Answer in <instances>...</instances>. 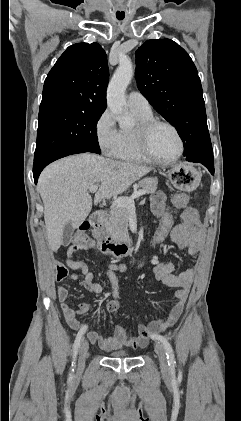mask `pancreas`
Returning <instances> with one entry per match:
<instances>
[{"mask_svg": "<svg viewBox=\"0 0 241 421\" xmlns=\"http://www.w3.org/2000/svg\"><path fill=\"white\" fill-rule=\"evenodd\" d=\"M157 178H146L134 186V190H143L148 194H154L157 190ZM129 208L111 207L110 213L103 223L105 232L113 239H122L128 236Z\"/></svg>", "mask_w": 241, "mask_h": 421, "instance_id": "cf45deb5", "label": "pancreas"}]
</instances>
